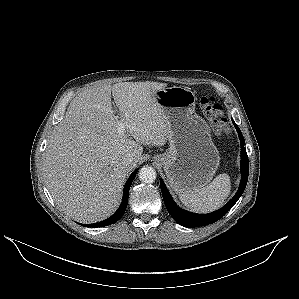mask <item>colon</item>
Returning <instances> with one entry per match:
<instances>
[{
    "mask_svg": "<svg viewBox=\"0 0 299 299\" xmlns=\"http://www.w3.org/2000/svg\"><path fill=\"white\" fill-rule=\"evenodd\" d=\"M200 106L205 116L211 122L212 128L217 134H228L230 131L223 108L213 96H203L200 98Z\"/></svg>",
    "mask_w": 299,
    "mask_h": 299,
    "instance_id": "colon-1",
    "label": "colon"
}]
</instances>
